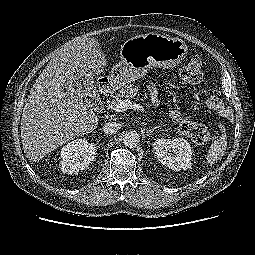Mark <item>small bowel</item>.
Instances as JSON below:
<instances>
[{"label": "small bowel", "instance_id": "obj_1", "mask_svg": "<svg viewBox=\"0 0 255 255\" xmlns=\"http://www.w3.org/2000/svg\"><path fill=\"white\" fill-rule=\"evenodd\" d=\"M148 88H149V93H150L152 102L155 105H158V103H159V95H158V89H157L156 85L154 83H151ZM208 106L211 109L222 108L221 102L219 103V105L217 107H214V106L209 105V104H208Z\"/></svg>", "mask_w": 255, "mask_h": 255}]
</instances>
